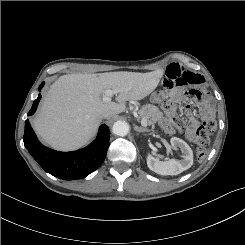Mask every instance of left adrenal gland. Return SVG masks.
<instances>
[{
    "label": "left adrenal gland",
    "instance_id": "a2214340",
    "mask_svg": "<svg viewBox=\"0 0 245 245\" xmlns=\"http://www.w3.org/2000/svg\"><path fill=\"white\" fill-rule=\"evenodd\" d=\"M134 130H135L136 132H139V133H141V132H150V130H148V129H146V128L138 127V126H136V125H134Z\"/></svg>",
    "mask_w": 245,
    "mask_h": 245
}]
</instances>
